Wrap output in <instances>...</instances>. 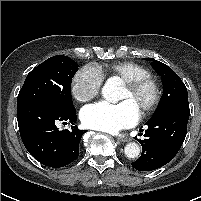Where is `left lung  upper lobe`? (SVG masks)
<instances>
[{"label":"left lung upper lobe","mask_w":201,"mask_h":201,"mask_svg":"<svg viewBox=\"0 0 201 201\" xmlns=\"http://www.w3.org/2000/svg\"><path fill=\"white\" fill-rule=\"evenodd\" d=\"M145 59L151 61V66L161 76L164 90L153 116L172 107H189L187 88L180 77L167 65L152 58Z\"/></svg>","instance_id":"left-lung-upper-lobe-1"}]
</instances>
